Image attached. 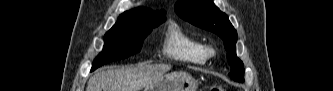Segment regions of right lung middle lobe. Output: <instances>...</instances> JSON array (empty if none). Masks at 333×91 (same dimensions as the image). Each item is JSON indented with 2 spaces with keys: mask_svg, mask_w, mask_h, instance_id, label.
<instances>
[{
  "mask_svg": "<svg viewBox=\"0 0 333 91\" xmlns=\"http://www.w3.org/2000/svg\"><path fill=\"white\" fill-rule=\"evenodd\" d=\"M165 18L132 21L114 25L104 36L102 52L95 58L91 71L112 61L127 58L141 50L145 37Z\"/></svg>",
  "mask_w": 333,
  "mask_h": 91,
  "instance_id": "1",
  "label": "right lung middle lobe"
}]
</instances>
